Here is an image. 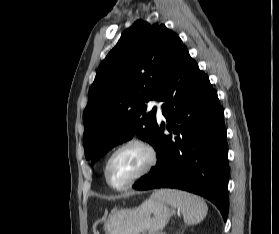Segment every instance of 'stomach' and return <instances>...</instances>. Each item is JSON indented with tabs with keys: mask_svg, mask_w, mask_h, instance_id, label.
<instances>
[{
	"mask_svg": "<svg viewBox=\"0 0 279 234\" xmlns=\"http://www.w3.org/2000/svg\"><path fill=\"white\" fill-rule=\"evenodd\" d=\"M171 215L172 210L165 202L152 197L138 207L113 211L105 222V234H141L145 231L157 234Z\"/></svg>",
	"mask_w": 279,
	"mask_h": 234,
	"instance_id": "1",
	"label": "stomach"
}]
</instances>
